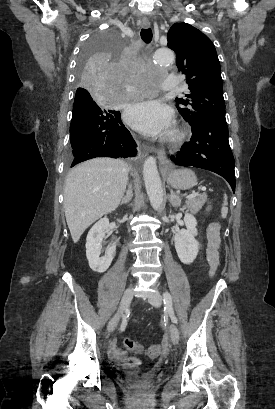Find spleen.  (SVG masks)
<instances>
[{
	"label": "spleen",
	"instance_id": "spleen-1",
	"mask_svg": "<svg viewBox=\"0 0 275 409\" xmlns=\"http://www.w3.org/2000/svg\"><path fill=\"white\" fill-rule=\"evenodd\" d=\"M223 198H224V200H223V205H222V209H221V217H222V219H226L227 213H228L227 194H224Z\"/></svg>",
	"mask_w": 275,
	"mask_h": 409
}]
</instances>
